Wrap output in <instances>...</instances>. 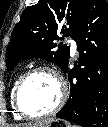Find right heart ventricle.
<instances>
[{"instance_id": "e07e8e85", "label": "right heart ventricle", "mask_w": 108, "mask_h": 127, "mask_svg": "<svg viewBox=\"0 0 108 127\" xmlns=\"http://www.w3.org/2000/svg\"><path fill=\"white\" fill-rule=\"evenodd\" d=\"M21 78V75L17 76L12 84L11 90H10V102H11V106L14 109V115L17 118H21L22 116L17 112V110L14 107V103H13V97H14V92H15V88L17 86V83L19 81V79Z\"/></svg>"}]
</instances>
